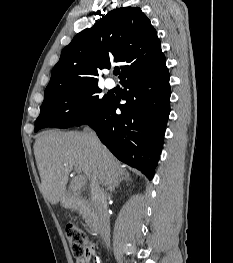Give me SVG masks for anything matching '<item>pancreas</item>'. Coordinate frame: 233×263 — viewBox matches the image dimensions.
Returning <instances> with one entry per match:
<instances>
[{
	"label": "pancreas",
	"instance_id": "pancreas-1",
	"mask_svg": "<svg viewBox=\"0 0 233 263\" xmlns=\"http://www.w3.org/2000/svg\"><path fill=\"white\" fill-rule=\"evenodd\" d=\"M79 210V214L83 216V218L85 219V221L90 225L92 224V220L88 217V213L86 210H83L81 208L78 209Z\"/></svg>",
	"mask_w": 233,
	"mask_h": 263
}]
</instances>
